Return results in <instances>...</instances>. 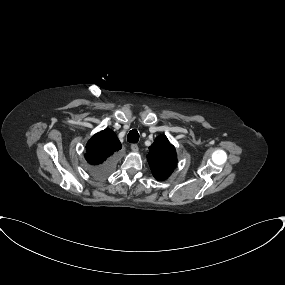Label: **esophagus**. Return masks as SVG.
<instances>
[{
	"label": "esophagus",
	"mask_w": 285,
	"mask_h": 285,
	"mask_svg": "<svg viewBox=\"0 0 285 285\" xmlns=\"http://www.w3.org/2000/svg\"><path fill=\"white\" fill-rule=\"evenodd\" d=\"M131 150L133 151V152H137L138 151V145L137 144H132L131 145Z\"/></svg>",
	"instance_id": "esophagus-1"
}]
</instances>
